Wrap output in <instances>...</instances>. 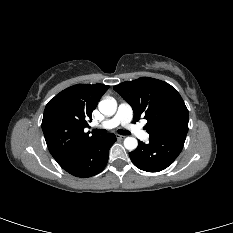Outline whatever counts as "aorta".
I'll return each instance as SVG.
<instances>
[{"instance_id":"762f6f07","label":"aorta","mask_w":233,"mask_h":233,"mask_svg":"<svg viewBox=\"0 0 233 233\" xmlns=\"http://www.w3.org/2000/svg\"><path fill=\"white\" fill-rule=\"evenodd\" d=\"M99 111L105 116H113L117 110V102L114 98L101 100L98 104ZM124 146L127 150L133 151L138 146V141L134 137H126Z\"/></svg>"}]
</instances>
